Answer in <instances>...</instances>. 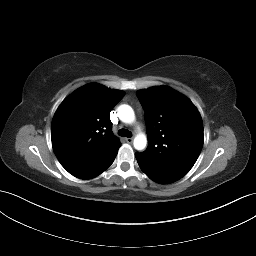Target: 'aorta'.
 <instances>
[{
  "label": "aorta",
  "mask_w": 256,
  "mask_h": 256,
  "mask_svg": "<svg viewBox=\"0 0 256 256\" xmlns=\"http://www.w3.org/2000/svg\"><path fill=\"white\" fill-rule=\"evenodd\" d=\"M119 119L127 124H131L135 121V114L133 109L129 105H121L118 108ZM134 148L136 150H143L147 145V138L145 134L139 133L134 138L133 142Z\"/></svg>",
  "instance_id": "obj_1"
}]
</instances>
